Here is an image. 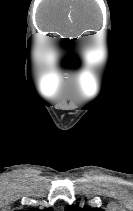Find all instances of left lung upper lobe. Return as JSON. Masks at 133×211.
I'll return each mask as SVG.
<instances>
[{
    "instance_id": "5c2ea615",
    "label": "left lung upper lobe",
    "mask_w": 133,
    "mask_h": 211,
    "mask_svg": "<svg viewBox=\"0 0 133 211\" xmlns=\"http://www.w3.org/2000/svg\"><path fill=\"white\" fill-rule=\"evenodd\" d=\"M67 211H103L102 209H91L90 207L79 208L78 206H67Z\"/></svg>"
}]
</instances>
